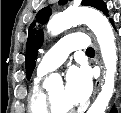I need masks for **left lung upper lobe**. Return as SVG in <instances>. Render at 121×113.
Wrapping results in <instances>:
<instances>
[{
    "label": "left lung upper lobe",
    "mask_w": 121,
    "mask_h": 113,
    "mask_svg": "<svg viewBox=\"0 0 121 113\" xmlns=\"http://www.w3.org/2000/svg\"><path fill=\"white\" fill-rule=\"evenodd\" d=\"M67 0H60V3H65ZM81 5L84 6H91L100 11L104 14H108L107 7L102 0H82ZM51 14V10L49 8H43L38 12L36 15V21H34L28 33V40L26 46V77L27 80H30L32 72L36 65V58L38 54V49L43 43V34L42 30H36L34 27L36 24H44L48 21L49 16Z\"/></svg>",
    "instance_id": "obj_1"
}]
</instances>
